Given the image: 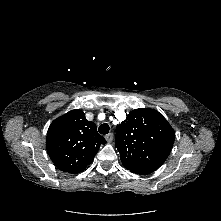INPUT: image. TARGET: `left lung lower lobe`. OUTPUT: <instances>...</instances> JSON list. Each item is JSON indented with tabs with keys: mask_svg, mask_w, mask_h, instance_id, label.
<instances>
[{
	"mask_svg": "<svg viewBox=\"0 0 221 221\" xmlns=\"http://www.w3.org/2000/svg\"><path fill=\"white\" fill-rule=\"evenodd\" d=\"M153 171H143V172H139V173H137V174H139V175H146V174H150V173H152Z\"/></svg>",
	"mask_w": 221,
	"mask_h": 221,
	"instance_id": "0a47b994",
	"label": "left lung lower lobe"
}]
</instances>
